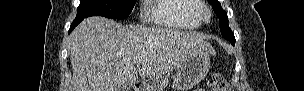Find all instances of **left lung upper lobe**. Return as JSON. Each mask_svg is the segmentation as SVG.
<instances>
[{
    "label": "left lung upper lobe",
    "instance_id": "1",
    "mask_svg": "<svg viewBox=\"0 0 304 91\" xmlns=\"http://www.w3.org/2000/svg\"><path fill=\"white\" fill-rule=\"evenodd\" d=\"M208 2L212 5L215 14L219 18L221 34L232 44H235L234 34L228 25L227 13L221 8L218 0H208Z\"/></svg>",
    "mask_w": 304,
    "mask_h": 91
}]
</instances>
